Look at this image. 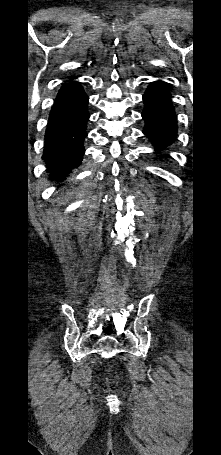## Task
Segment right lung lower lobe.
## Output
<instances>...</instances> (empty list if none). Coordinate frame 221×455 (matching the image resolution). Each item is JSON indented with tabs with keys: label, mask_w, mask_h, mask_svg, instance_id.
<instances>
[{
	"label": "right lung lower lobe",
	"mask_w": 221,
	"mask_h": 455,
	"mask_svg": "<svg viewBox=\"0 0 221 455\" xmlns=\"http://www.w3.org/2000/svg\"><path fill=\"white\" fill-rule=\"evenodd\" d=\"M74 78L59 90L46 128L42 158L53 179L62 180L68 176L81 164L85 151L89 98Z\"/></svg>",
	"instance_id": "right-lung-lower-lobe-1"
}]
</instances>
